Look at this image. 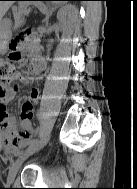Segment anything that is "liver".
Returning a JSON list of instances; mask_svg holds the SVG:
<instances>
[{"instance_id": "liver-1", "label": "liver", "mask_w": 137, "mask_h": 189, "mask_svg": "<svg viewBox=\"0 0 137 189\" xmlns=\"http://www.w3.org/2000/svg\"><path fill=\"white\" fill-rule=\"evenodd\" d=\"M12 4V1H0V20H2L3 16Z\"/></svg>"}]
</instances>
